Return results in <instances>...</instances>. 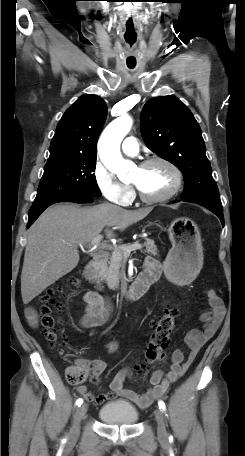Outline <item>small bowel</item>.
Listing matches in <instances>:
<instances>
[{"instance_id": "c3829d8e", "label": "small bowel", "mask_w": 245, "mask_h": 456, "mask_svg": "<svg viewBox=\"0 0 245 456\" xmlns=\"http://www.w3.org/2000/svg\"><path fill=\"white\" fill-rule=\"evenodd\" d=\"M147 261L158 262L152 258ZM159 265V264H158ZM210 309L201 315L204 323L203 329H192L185 336V343L190 352L185 359L181 350H175L171 356V368L169 371L156 370L150 377L152 387L145 393L139 394L133 390L124 388V382L131 378L130 369L123 368L114 377L110 384V390L95 396L87 387L81 386L78 392L89 402L100 405L105 401L122 397L130 400L141 409L149 407L156 399L160 398L168 389L171 383L176 382L190 367L202 346L215 334L220 326L226 309L222 298L214 291L205 292ZM87 304L86 312L80 320V325L84 328L101 327L108 323L111 317V304L94 292H87L83 297ZM26 316L32 326L37 324V314L33 308H28ZM117 342L112 341L108 344L110 352L116 351ZM91 371V382L99 383L100 376L105 370V363L101 360L85 361L79 360Z\"/></svg>"}]
</instances>
